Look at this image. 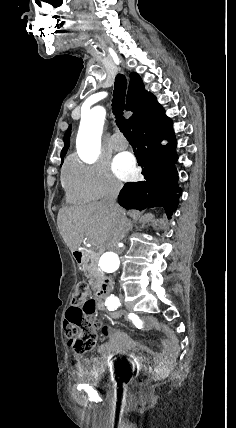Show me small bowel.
I'll return each mask as SVG.
<instances>
[{
    "mask_svg": "<svg viewBox=\"0 0 236 428\" xmlns=\"http://www.w3.org/2000/svg\"><path fill=\"white\" fill-rule=\"evenodd\" d=\"M100 310H105L111 319L126 318L132 322L137 328L143 330L157 329L164 335L163 344L165 350L162 353L154 351L146 344L134 341L126 332L112 326L102 325L100 322H95L94 326L101 329L102 335L109 338V341L99 348V354L105 360H112L117 355H129L131 362L137 367L141 366L149 358L154 361V366L157 370H164L174 359L179 351V346L172 330L155 320L154 318H139L134 315H129L124 312L108 311L103 304L98 303ZM77 367H81L83 363L90 364L96 360L84 361L81 355L75 356Z\"/></svg>",
    "mask_w": 236,
    "mask_h": 428,
    "instance_id": "small-bowel-1",
    "label": "small bowel"
}]
</instances>
